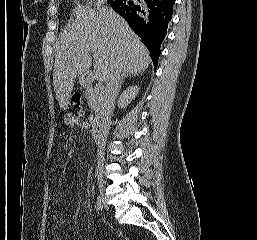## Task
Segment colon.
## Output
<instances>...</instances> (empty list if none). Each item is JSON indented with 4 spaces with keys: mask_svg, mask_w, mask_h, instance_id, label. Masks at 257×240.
<instances>
[{
    "mask_svg": "<svg viewBox=\"0 0 257 240\" xmlns=\"http://www.w3.org/2000/svg\"><path fill=\"white\" fill-rule=\"evenodd\" d=\"M70 105L73 108H79L80 107V105H81V95H80V93L75 92L71 95Z\"/></svg>",
    "mask_w": 257,
    "mask_h": 240,
    "instance_id": "5ec220e1",
    "label": "colon"
}]
</instances>
